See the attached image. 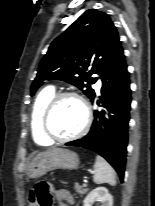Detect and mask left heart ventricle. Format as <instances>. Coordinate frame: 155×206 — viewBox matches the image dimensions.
<instances>
[{
  "label": "left heart ventricle",
  "mask_w": 155,
  "mask_h": 206,
  "mask_svg": "<svg viewBox=\"0 0 155 206\" xmlns=\"http://www.w3.org/2000/svg\"><path fill=\"white\" fill-rule=\"evenodd\" d=\"M84 122V110L74 98H64L54 107L49 117L50 131L58 137H67L77 132Z\"/></svg>",
  "instance_id": "obj_1"
}]
</instances>
